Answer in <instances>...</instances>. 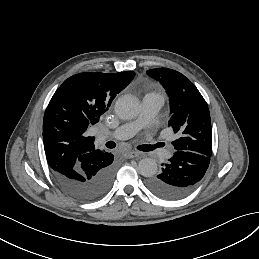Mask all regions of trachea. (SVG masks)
<instances>
[{"instance_id": "3493384b", "label": "trachea", "mask_w": 259, "mask_h": 259, "mask_svg": "<svg viewBox=\"0 0 259 259\" xmlns=\"http://www.w3.org/2000/svg\"><path fill=\"white\" fill-rule=\"evenodd\" d=\"M106 146H107L108 148H114L116 145H115V143H114L113 141H108V142L106 143ZM138 148L141 150L142 146H139ZM152 149H153V146H152Z\"/></svg>"}]
</instances>
